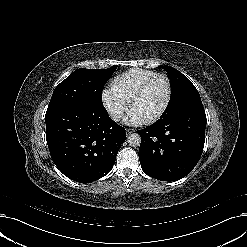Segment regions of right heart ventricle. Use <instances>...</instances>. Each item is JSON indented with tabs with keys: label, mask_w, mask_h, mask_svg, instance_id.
Wrapping results in <instances>:
<instances>
[{
	"label": "right heart ventricle",
	"mask_w": 247,
	"mask_h": 247,
	"mask_svg": "<svg viewBox=\"0 0 247 247\" xmlns=\"http://www.w3.org/2000/svg\"><path fill=\"white\" fill-rule=\"evenodd\" d=\"M158 75V72L149 69L136 68L123 73L113 82L112 90L124 103L129 102L136 91L146 81Z\"/></svg>",
	"instance_id": "right-heart-ventricle-1"
}]
</instances>
